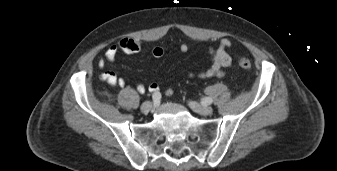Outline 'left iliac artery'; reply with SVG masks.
I'll return each mask as SVG.
<instances>
[{"mask_svg":"<svg viewBox=\"0 0 337 171\" xmlns=\"http://www.w3.org/2000/svg\"><path fill=\"white\" fill-rule=\"evenodd\" d=\"M203 103H205V104H211L212 102H213V100L211 99V98H209V97H205V98H203Z\"/></svg>","mask_w":337,"mask_h":171,"instance_id":"44dca946","label":"left iliac artery"}]
</instances>
